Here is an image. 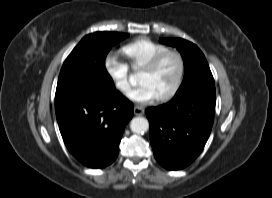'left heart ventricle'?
Here are the masks:
<instances>
[{"instance_id":"b2bd125f","label":"left heart ventricle","mask_w":272,"mask_h":198,"mask_svg":"<svg viewBox=\"0 0 272 198\" xmlns=\"http://www.w3.org/2000/svg\"><path fill=\"white\" fill-rule=\"evenodd\" d=\"M179 72V62L175 56H168L153 72L143 71L139 77L140 84H148L159 97L167 93L174 85Z\"/></svg>"}]
</instances>
